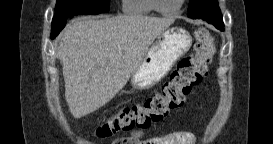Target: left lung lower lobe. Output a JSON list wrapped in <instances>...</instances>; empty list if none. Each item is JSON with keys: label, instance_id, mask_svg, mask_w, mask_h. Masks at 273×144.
<instances>
[{"label": "left lung lower lobe", "instance_id": "0a47b994", "mask_svg": "<svg viewBox=\"0 0 273 144\" xmlns=\"http://www.w3.org/2000/svg\"><path fill=\"white\" fill-rule=\"evenodd\" d=\"M194 19L206 20L208 23L213 24L216 28L222 31L224 30V24H223V19H222V14L220 9L212 8L209 11H206L198 15Z\"/></svg>", "mask_w": 273, "mask_h": 144}]
</instances>
